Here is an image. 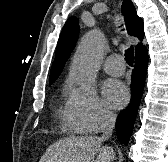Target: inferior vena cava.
<instances>
[{
	"instance_id": "obj_1",
	"label": "inferior vena cava",
	"mask_w": 168,
	"mask_h": 162,
	"mask_svg": "<svg viewBox=\"0 0 168 162\" xmlns=\"http://www.w3.org/2000/svg\"><path fill=\"white\" fill-rule=\"evenodd\" d=\"M116 122V115L111 112H105L102 116V137L101 140L105 141L112 135Z\"/></svg>"
}]
</instances>
